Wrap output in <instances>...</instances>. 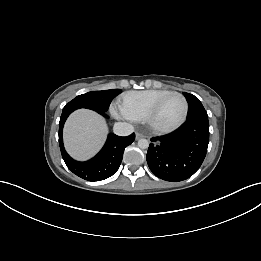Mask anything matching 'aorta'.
Returning a JSON list of instances; mask_svg holds the SVG:
<instances>
[{
  "mask_svg": "<svg viewBox=\"0 0 261 261\" xmlns=\"http://www.w3.org/2000/svg\"><path fill=\"white\" fill-rule=\"evenodd\" d=\"M138 147L141 149H146L149 147V142L147 139H139L138 141Z\"/></svg>",
  "mask_w": 261,
  "mask_h": 261,
  "instance_id": "762f6f07",
  "label": "aorta"
}]
</instances>
